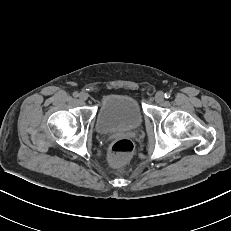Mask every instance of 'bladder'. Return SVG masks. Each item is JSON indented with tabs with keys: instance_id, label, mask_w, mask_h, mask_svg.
<instances>
[{
	"instance_id": "bladder-1",
	"label": "bladder",
	"mask_w": 231,
	"mask_h": 231,
	"mask_svg": "<svg viewBox=\"0 0 231 231\" xmlns=\"http://www.w3.org/2000/svg\"><path fill=\"white\" fill-rule=\"evenodd\" d=\"M143 122V112L138 101L128 95L111 94L103 100L96 117L99 133H111L137 128Z\"/></svg>"
}]
</instances>
